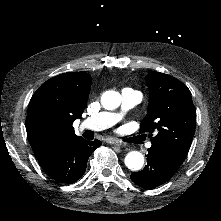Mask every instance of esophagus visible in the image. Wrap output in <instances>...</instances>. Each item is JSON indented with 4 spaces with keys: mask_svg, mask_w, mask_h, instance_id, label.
I'll list each match as a JSON object with an SVG mask.
<instances>
[{
    "mask_svg": "<svg viewBox=\"0 0 221 221\" xmlns=\"http://www.w3.org/2000/svg\"><path fill=\"white\" fill-rule=\"evenodd\" d=\"M107 143L110 145H114V146H118V147H123L125 146L124 143H122L120 140L118 139H108Z\"/></svg>",
    "mask_w": 221,
    "mask_h": 221,
    "instance_id": "34e87169",
    "label": "esophagus"
}]
</instances>
